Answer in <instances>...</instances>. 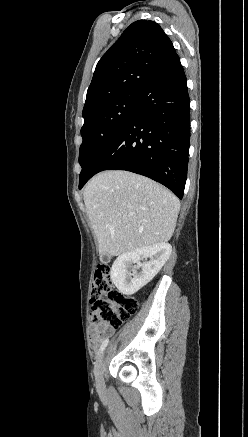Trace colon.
<instances>
[{
  "mask_svg": "<svg viewBox=\"0 0 248 437\" xmlns=\"http://www.w3.org/2000/svg\"><path fill=\"white\" fill-rule=\"evenodd\" d=\"M138 309V301L122 295L112 282L111 268L99 264L90 291V321L95 327L118 328Z\"/></svg>",
  "mask_w": 248,
  "mask_h": 437,
  "instance_id": "obj_1",
  "label": "colon"
}]
</instances>
